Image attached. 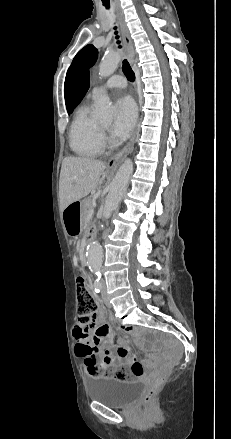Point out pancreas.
Returning <instances> with one entry per match:
<instances>
[{
    "label": "pancreas",
    "mask_w": 231,
    "mask_h": 439,
    "mask_svg": "<svg viewBox=\"0 0 231 439\" xmlns=\"http://www.w3.org/2000/svg\"><path fill=\"white\" fill-rule=\"evenodd\" d=\"M94 204L92 199L87 198L82 200L81 202V218H82V222L86 223L89 221V214L90 211L93 209Z\"/></svg>",
    "instance_id": "cf45deb5"
}]
</instances>
